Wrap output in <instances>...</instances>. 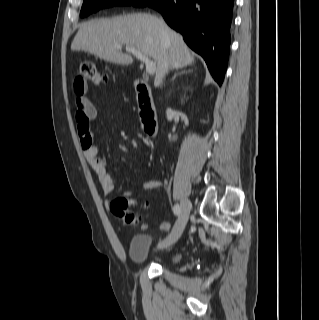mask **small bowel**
<instances>
[{
  "label": "small bowel",
  "instance_id": "small-bowel-1",
  "mask_svg": "<svg viewBox=\"0 0 319 320\" xmlns=\"http://www.w3.org/2000/svg\"><path fill=\"white\" fill-rule=\"evenodd\" d=\"M86 86H77L75 84L76 94V119L79 124L82 115L86 116L89 121H96L98 118V112L95 106L85 96ZM84 156L94 170L96 178L100 184L103 195H111L114 191V182L112 177L107 172V160L99 153V145L96 142H92L90 145H86L82 142ZM162 182L159 179H152L142 184V189L145 191L154 190L160 188ZM130 195V192H127Z\"/></svg>",
  "mask_w": 319,
  "mask_h": 320
}]
</instances>
